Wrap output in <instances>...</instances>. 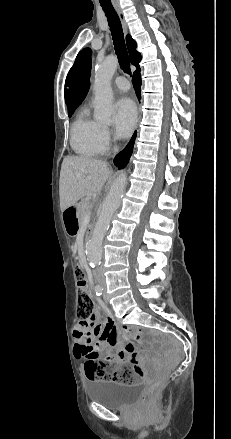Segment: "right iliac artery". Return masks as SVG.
I'll return each instance as SVG.
<instances>
[{"mask_svg": "<svg viewBox=\"0 0 231 439\" xmlns=\"http://www.w3.org/2000/svg\"><path fill=\"white\" fill-rule=\"evenodd\" d=\"M95 293L97 296H100L103 293L102 287L99 285L95 286Z\"/></svg>", "mask_w": 231, "mask_h": 439, "instance_id": "1", "label": "right iliac artery"}]
</instances>
